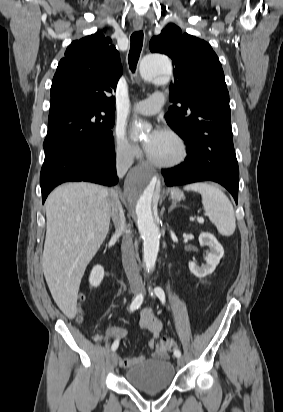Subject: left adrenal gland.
<instances>
[{
    "label": "left adrenal gland",
    "mask_w": 283,
    "mask_h": 412,
    "mask_svg": "<svg viewBox=\"0 0 283 412\" xmlns=\"http://www.w3.org/2000/svg\"><path fill=\"white\" fill-rule=\"evenodd\" d=\"M175 207H177V206H176L175 203H173V204L170 206V208L168 209V212H171Z\"/></svg>",
    "instance_id": "1"
}]
</instances>
